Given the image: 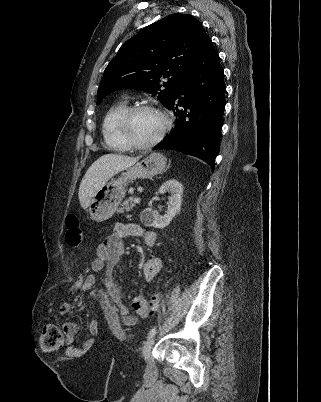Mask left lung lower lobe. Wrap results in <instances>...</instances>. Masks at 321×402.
<instances>
[{"instance_id":"0a47b994","label":"left lung lower lobe","mask_w":321,"mask_h":402,"mask_svg":"<svg viewBox=\"0 0 321 402\" xmlns=\"http://www.w3.org/2000/svg\"><path fill=\"white\" fill-rule=\"evenodd\" d=\"M225 90L223 68L210 39L180 81L168 106L176 116L175 128L154 149L181 151L204 160L214 169L220 147Z\"/></svg>"}]
</instances>
